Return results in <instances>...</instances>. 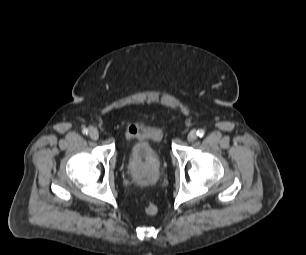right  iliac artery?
I'll use <instances>...</instances> for the list:
<instances>
[{"label":"right iliac artery","instance_id":"right-iliac-artery-1","mask_svg":"<svg viewBox=\"0 0 306 255\" xmlns=\"http://www.w3.org/2000/svg\"><path fill=\"white\" fill-rule=\"evenodd\" d=\"M82 132H83V134L87 135L88 132H89V130H88L87 128H84V129L82 130Z\"/></svg>","mask_w":306,"mask_h":255}]
</instances>
